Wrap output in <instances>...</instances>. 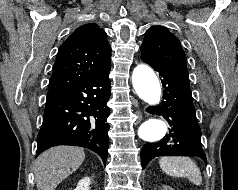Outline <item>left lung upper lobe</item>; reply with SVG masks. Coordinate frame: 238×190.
I'll list each match as a JSON object with an SVG mask.
<instances>
[{"label":"left lung upper lobe","mask_w":238,"mask_h":190,"mask_svg":"<svg viewBox=\"0 0 238 190\" xmlns=\"http://www.w3.org/2000/svg\"><path fill=\"white\" fill-rule=\"evenodd\" d=\"M141 57L159 64L187 69L186 55L180 41L164 26H152L140 47Z\"/></svg>","instance_id":"1"}]
</instances>
